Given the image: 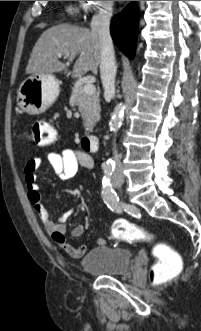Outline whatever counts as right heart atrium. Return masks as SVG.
<instances>
[{"label": "right heart atrium", "instance_id": "right-heart-atrium-1", "mask_svg": "<svg viewBox=\"0 0 201 331\" xmlns=\"http://www.w3.org/2000/svg\"><path fill=\"white\" fill-rule=\"evenodd\" d=\"M112 1H78V5L85 19H101L109 16Z\"/></svg>", "mask_w": 201, "mask_h": 331}]
</instances>
